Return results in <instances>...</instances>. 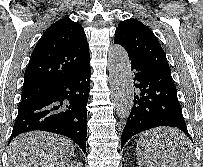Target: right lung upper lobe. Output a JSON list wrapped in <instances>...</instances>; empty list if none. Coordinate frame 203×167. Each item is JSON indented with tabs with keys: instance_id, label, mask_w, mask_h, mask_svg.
Segmentation results:
<instances>
[{
	"instance_id": "right-lung-upper-lobe-1",
	"label": "right lung upper lobe",
	"mask_w": 203,
	"mask_h": 167,
	"mask_svg": "<svg viewBox=\"0 0 203 167\" xmlns=\"http://www.w3.org/2000/svg\"><path fill=\"white\" fill-rule=\"evenodd\" d=\"M89 60L82 26L67 17L58 20L44 32L31 54L21 100L48 94Z\"/></svg>"
}]
</instances>
